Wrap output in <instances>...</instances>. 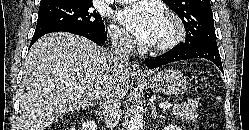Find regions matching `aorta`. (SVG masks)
Returning a JSON list of instances; mask_svg holds the SVG:
<instances>
[{
  "label": "aorta",
  "instance_id": "762f6f07",
  "mask_svg": "<svg viewBox=\"0 0 249 130\" xmlns=\"http://www.w3.org/2000/svg\"><path fill=\"white\" fill-rule=\"evenodd\" d=\"M139 106L133 111L128 124V130H143V115Z\"/></svg>",
  "mask_w": 249,
  "mask_h": 130
}]
</instances>
